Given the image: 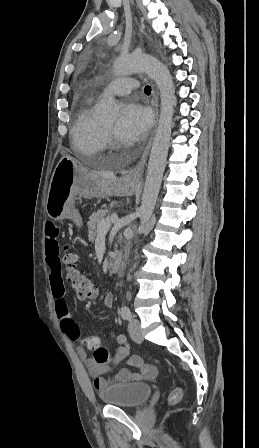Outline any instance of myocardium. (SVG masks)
<instances>
[{
	"mask_svg": "<svg viewBox=\"0 0 259 448\" xmlns=\"http://www.w3.org/2000/svg\"><path fill=\"white\" fill-rule=\"evenodd\" d=\"M103 130H104L105 137L112 138L113 141H114V145H115V147H119V144L116 142V140H115V138H114V134H113V132L111 131V129H109L108 127H106L105 125H103ZM82 157H83V155H82L81 153H79V159L82 158Z\"/></svg>",
	"mask_w": 259,
	"mask_h": 448,
	"instance_id": "obj_1",
	"label": "myocardium"
}]
</instances>
